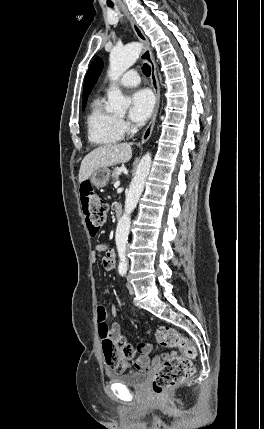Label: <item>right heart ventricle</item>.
<instances>
[{
  "instance_id": "e07e8e85",
  "label": "right heart ventricle",
  "mask_w": 264,
  "mask_h": 429,
  "mask_svg": "<svg viewBox=\"0 0 264 429\" xmlns=\"http://www.w3.org/2000/svg\"><path fill=\"white\" fill-rule=\"evenodd\" d=\"M89 141L97 146H109L122 140L124 130L120 120L104 107L101 98L95 99L87 117Z\"/></svg>"
}]
</instances>
